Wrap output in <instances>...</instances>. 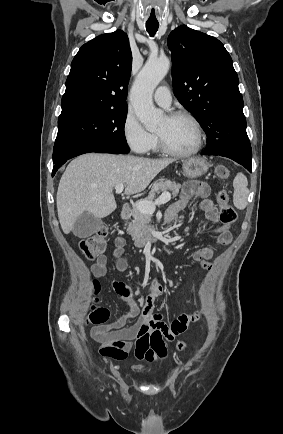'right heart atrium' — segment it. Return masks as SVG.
<instances>
[{"instance_id":"1","label":"right heart atrium","mask_w":283,"mask_h":434,"mask_svg":"<svg viewBox=\"0 0 283 434\" xmlns=\"http://www.w3.org/2000/svg\"><path fill=\"white\" fill-rule=\"evenodd\" d=\"M122 133L129 148L138 154L149 152L157 142L156 135L149 132L130 110L124 117Z\"/></svg>"}]
</instances>
